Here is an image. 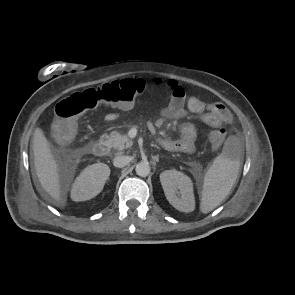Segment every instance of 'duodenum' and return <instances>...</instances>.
I'll use <instances>...</instances> for the list:
<instances>
[{
	"mask_svg": "<svg viewBox=\"0 0 295 295\" xmlns=\"http://www.w3.org/2000/svg\"><path fill=\"white\" fill-rule=\"evenodd\" d=\"M83 149L86 153H92L99 157H103L109 152V147L107 143L102 141L88 143L83 147Z\"/></svg>",
	"mask_w": 295,
	"mask_h": 295,
	"instance_id": "410a0bca",
	"label": "duodenum"
}]
</instances>
